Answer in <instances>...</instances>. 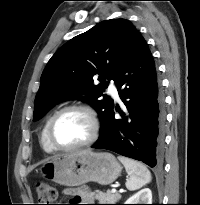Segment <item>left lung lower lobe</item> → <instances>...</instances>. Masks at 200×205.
Here are the masks:
<instances>
[{
    "label": "left lung lower lobe",
    "instance_id": "1",
    "mask_svg": "<svg viewBox=\"0 0 200 205\" xmlns=\"http://www.w3.org/2000/svg\"><path fill=\"white\" fill-rule=\"evenodd\" d=\"M115 84L126 106L112 107L92 146L114 151L156 167L161 165L164 145V99L152 54L138 32L120 64ZM120 118H115V112Z\"/></svg>",
    "mask_w": 200,
    "mask_h": 205
}]
</instances>
